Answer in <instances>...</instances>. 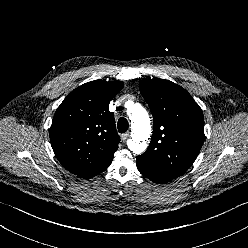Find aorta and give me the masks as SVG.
<instances>
[{"mask_svg":"<svg viewBox=\"0 0 248 248\" xmlns=\"http://www.w3.org/2000/svg\"><path fill=\"white\" fill-rule=\"evenodd\" d=\"M131 120L132 138L129 142L130 150L141 154L146 149V142L151 134V124L148 112L140 104H134L128 110Z\"/></svg>","mask_w":248,"mask_h":248,"instance_id":"aorta-1","label":"aorta"}]
</instances>
